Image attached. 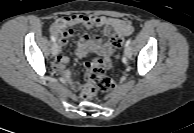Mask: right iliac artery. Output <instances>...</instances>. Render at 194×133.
Here are the masks:
<instances>
[{
    "label": "right iliac artery",
    "instance_id": "82829eb1",
    "mask_svg": "<svg viewBox=\"0 0 194 133\" xmlns=\"http://www.w3.org/2000/svg\"><path fill=\"white\" fill-rule=\"evenodd\" d=\"M51 41L54 42V43L56 42V39L53 35L51 36Z\"/></svg>",
    "mask_w": 194,
    "mask_h": 133
}]
</instances>
